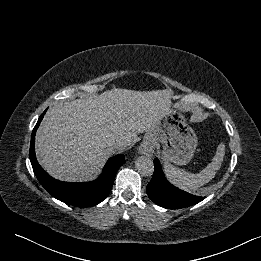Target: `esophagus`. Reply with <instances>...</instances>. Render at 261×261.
<instances>
[{
  "mask_svg": "<svg viewBox=\"0 0 261 261\" xmlns=\"http://www.w3.org/2000/svg\"><path fill=\"white\" fill-rule=\"evenodd\" d=\"M139 152L148 157L152 156L154 153L153 141L149 139L144 140L139 147Z\"/></svg>",
  "mask_w": 261,
  "mask_h": 261,
  "instance_id": "esophagus-1",
  "label": "esophagus"
}]
</instances>
